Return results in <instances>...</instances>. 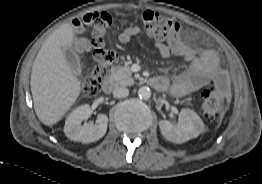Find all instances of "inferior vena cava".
<instances>
[{"label":"inferior vena cava","mask_w":262,"mask_h":184,"mask_svg":"<svg viewBox=\"0 0 262 184\" xmlns=\"http://www.w3.org/2000/svg\"><path fill=\"white\" fill-rule=\"evenodd\" d=\"M129 95V90L126 87H116L113 90V96L116 98H124Z\"/></svg>","instance_id":"1"}]
</instances>
